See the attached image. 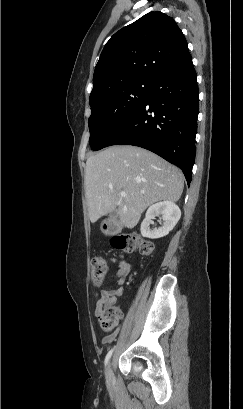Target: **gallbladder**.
<instances>
[{
  "label": "gallbladder",
  "instance_id": "bac80fb5",
  "mask_svg": "<svg viewBox=\"0 0 243 409\" xmlns=\"http://www.w3.org/2000/svg\"><path fill=\"white\" fill-rule=\"evenodd\" d=\"M116 218H117V211L115 210L112 213H110L109 219L113 220V219H116Z\"/></svg>",
  "mask_w": 243,
  "mask_h": 409
}]
</instances>
